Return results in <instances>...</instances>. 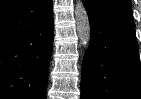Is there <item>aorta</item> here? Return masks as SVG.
Segmentation results:
<instances>
[{"label": "aorta", "mask_w": 141, "mask_h": 99, "mask_svg": "<svg viewBox=\"0 0 141 99\" xmlns=\"http://www.w3.org/2000/svg\"><path fill=\"white\" fill-rule=\"evenodd\" d=\"M76 27L80 43L88 47L91 37L90 22L87 10L82 0H77L75 5Z\"/></svg>", "instance_id": "762f6f07"}]
</instances>
